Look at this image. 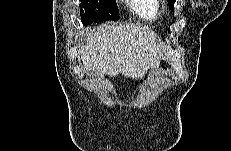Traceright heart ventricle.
Listing matches in <instances>:
<instances>
[{
  "label": "right heart ventricle",
  "instance_id": "1",
  "mask_svg": "<svg viewBox=\"0 0 231 151\" xmlns=\"http://www.w3.org/2000/svg\"><path fill=\"white\" fill-rule=\"evenodd\" d=\"M132 10L143 20L153 21L160 13V5L157 0H132Z\"/></svg>",
  "mask_w": 231,
  "mask_h": 151
}]
</instances>
